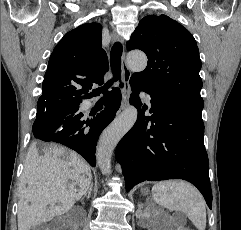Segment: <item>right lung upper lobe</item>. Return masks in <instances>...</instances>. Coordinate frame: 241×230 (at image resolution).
<instances>
[{
    "instance_id": "right-lung-upper-lobe-1",
    "label": "right lung upper lobe",
    "mask_w": 241,
    "mask_h": 230,
    "mask_svg": "<svg viewBox=\"0 0 241 230\" xmlns=\"http://www.w3.org/2000/svg\"><path fill=\"white\" fill-rule=\"evenodd\" d=\"M101 30V24L87 23L64 35L50 56L39 105L80 103L93 85L104 83L108 58Z\"/></svg>"
}]
</instances>
